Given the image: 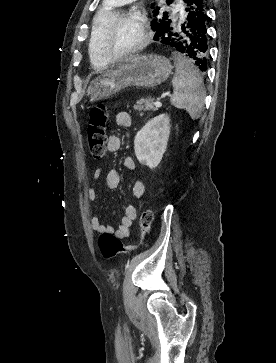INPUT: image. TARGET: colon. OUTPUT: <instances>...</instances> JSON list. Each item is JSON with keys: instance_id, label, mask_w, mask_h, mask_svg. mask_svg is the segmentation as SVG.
Masks as SVG:
<instances>
[{"instance_id": "colon-1", "label": "colon", "mask_w": 276, "mask_h": 363, "mask_svg": "<svg viewBox=\"0 0 276 363\" xmlns=\"http://www.w3.org/2000/svg\"><path fill=\"white\" fill-rule=\"evenodd\" d=\"M108 121L109 114L103 104H99L90 110L87 123L88 145L90 153L95 159H102L105 156ZM152 221V210L148 207L142 208L140 212V226L144 240L150 235ZM99 247L105 258H112L119 253L127 252V248L121 240L110 233H103L100 236Z\"/></svg>"}]
</instances>
